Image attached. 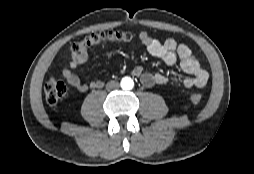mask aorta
Returning <instances> with one entry per match:
<instances>
[{
    "label": "aorta",
    "mask_w": 254,
    "mask_h": 174,
    "mask_svg": "<svg viewBox=\"0 0 254 174\" xmlns=\"http://www.w3.org/2000/svg\"><path fill=\"white\" fill-rule=\"evenodd\" d=\"M134 86V82L131 78L125 77L121 81V87L123 90H131Z\"/></svg>",
    "instance_id": "1"
}]
</instances>
